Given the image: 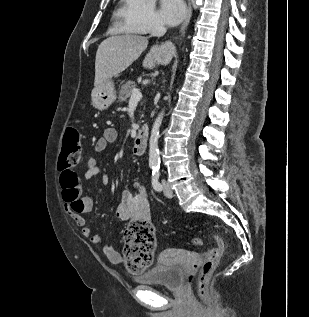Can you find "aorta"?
Here are the masks:
<instances>
[{
    "mask_svg": "<svg viewBox=\"0 0 309 317\" xmlns=\"http://www.w3.org/2000/svg\"><path fill=\"white\" fill-rule=\"evenodd\" d=\"M164 111H162L156 118L150 135L149 140V165L158 167L160 165V154L158 148L159 129L163 120Z\"/></svg>",
    "mask_w": 309,
    "mask_h": 317,
    "instance_id": "762f6f07",
    "label": "aorta"
}]
</instances>
